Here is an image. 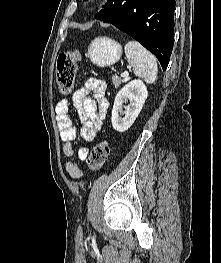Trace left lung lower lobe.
<instances>
[{
	"instance_id": "left-lung-lower-lobe-1",
	"label": "left lung lower lobe",
	"mask_w": 221,
	"mask_h": 263,
	"mask_svg": "<svg viewBox=\"0 0 221 263\" xmlns=\"http://www.w3.org/2000/svg\"><path fill=\"white\" fill-rule=\"evenodd\" d=\"M94 17L129 34L166 70L174 41L175 0H108Z\"/></svg>"
}]
</instances>
